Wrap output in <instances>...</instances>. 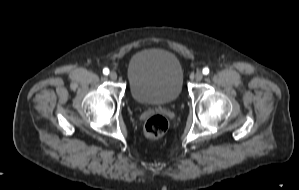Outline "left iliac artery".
<instances>
[{"mask_svg": "<svg viewBox=\"0 0 299 190\" xmlns=\"http://www.w3.org/2000/svg\"><path fill=\"white\" fill-rule=\"evenodd\" d=\"M203 74H204V75L209 74V69H208L207 67H205V68L203 69Z\"/></svg>", "mask_w": 299, "mask_h": 190, "instance_id": "44dca946", "label": "left iliac artery"}]
</instances>
